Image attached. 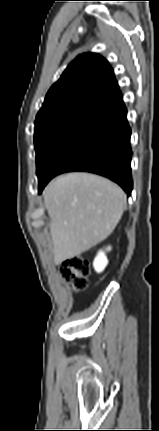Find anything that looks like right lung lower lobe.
<instances>
[{"mask_svg": "<svg viewBox=\"0 0 159 431\" xmlns=\"http://www.w3.org/2000/svg\"><path fill=\"white\" fill-rule=\"evenodd\" d=\"M131 129L124 103L71 131L53 150L38 176L39 193L56 175L86 171L105 176L131 194Z\"/></svg>", "mask_w": 159, "mask_h": 431, "instance_id": "obj_1", "label": "right lung lower lobe"}]
</instances>
